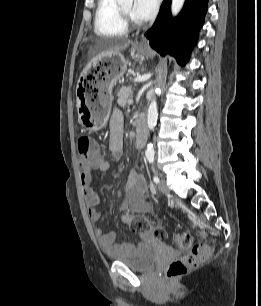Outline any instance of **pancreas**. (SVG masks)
Masks as SVG:
<instances>
[{"instance_id":"obj_1","label":"pancreas","mask_w":261,"mask_h":306,"mask_svg":"<svg viewBox=\"0 0 261 306\" xmlns=\"http://www.w3.org/2000/svg\"><path fill=\"white\" fill-rule=\"evenodd\" d=\"M118 96V104L121 107H125L127 104H129V101L131 100L132 96H133V90L131 87H122L119 92L117 93Z\"/></svg>"}]
</instances>
